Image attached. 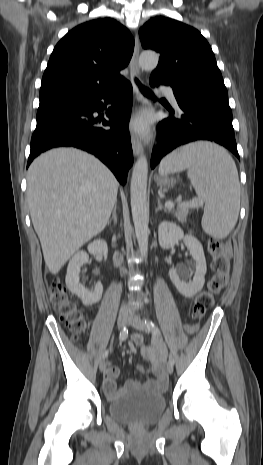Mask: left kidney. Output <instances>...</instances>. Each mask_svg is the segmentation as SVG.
Returning a JSON list of instances; mask_svg holds the SVG:
<instances>
[{"mask_svg":"<svg viewBox=\"0 0 263 465\" xmlns=\"http://www.w3.org/2000/svg\"><path fill=\"white\" fill-rule=\"evenodd\" d=\"M159 244L168 249L179 240H183L196 262V272L192 281L186 282L174 268H170L169 276L177 290L185 297L190 298L202 290L207 271L206 260L202 244L192 235H184L183 230L173 222L163 221L158 228Z\"/></svg>","mask_w":263,"mask_h":465,"instance_id":"1","label":"left kidney"}]
</instances>
